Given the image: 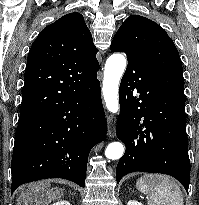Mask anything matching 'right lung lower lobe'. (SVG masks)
<instances>
[{"mask_svg":"<svg viewBox=\"0 0 199 205\" xmlns=\"http://www.w3.org/2000/svg\"><path fill=\"white\" fill-rule=\"evenodd\" d=\"M106 136L100 82L19 120L12 156V193L25 183L63 178L85 186L88 155Z\"/></svg>","mask_w":199,"mask_h":205,"instance_id":"obj_1","label":"right lung lower lobe"}]
</instances>
